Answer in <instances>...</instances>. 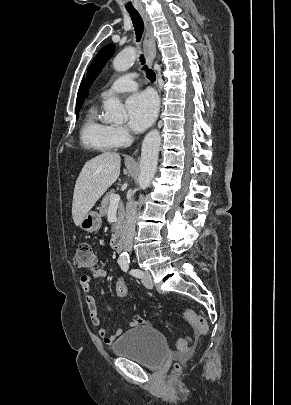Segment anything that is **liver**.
Returning <instances> with one entry per match:
<instances>
[{"label": "liver", "instance_id": "liver-1", "mask_svg": "<svg viewBox=\"0 0 291 405\" xmlns=\"http://www.w3.org/2000/svg\"><path fill=\"white\" fill-rule=\"evenodd\" d=\"M120 161L119 154L104 152L85 163L73 194L72 217L76 226H79L97 200L118 179Z\"/></svg>", "mask_w": 291, "mask_h": 405}]
</instances>
